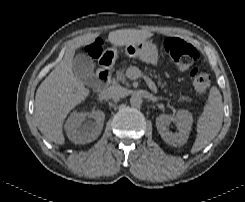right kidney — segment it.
I'll return each instance as SVG.
<instances>
[{
	"mask_svg": "<svg viewBox=\"0 0 245 202\" xmlns=\"http://www.w3.org/2000/svg\"><path fill=\"white\" fill-rule=\"evenodd\" d=\"M94 121H86V118ZM105 119L104 112L98 110L92 113L73 112L65 124L68 138L75 144H85L94 141L101 134Z\"/></svg>",
	"mask_w": 245,
	"mask_h": 202,
	"instance_id": "obj_1",
	"label": "right kidney"
}]
</instances>
